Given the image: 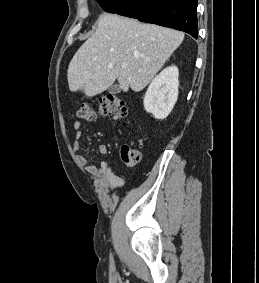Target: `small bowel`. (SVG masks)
Masks as SVG:
<instances>
[{"label":"small bowel","instance_id":"obj_1","mask_svg":"<svg viewBox=\"0 0 259 283\" xmlns=\"http://www.w3.org/2000/svg\"><path fill=\"white\" fill-rule=\"evenodd\" d=\"M82 124L79 121H74V149L78 151L81 147L80 140L82 138ZM99 153L103 156L108 154V148L105 145L99 146ZM77 163L84 168V170L93 175L97 186L101 190H114L121 188L124 185V181L118 175H116L110 164L102 161L99 166L90 164L87 158L82 154L76 155Z\"/></svg>","mask_w":259,"mask_h":283}]
</instances>
